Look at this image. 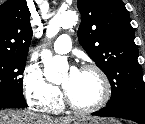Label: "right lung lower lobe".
<instances>
[{"mask_svg":"<svg viewBox=\"0 0 145 124\" xmlns=\"http://www.w3.org/2000/svg\"><path fill=\"white\" fill-rule=\"evenodd\" d=\"M23 92H0V108H25Z\"/></svg>","mask_w":145,"mask_h":124,"instance_id":"1","label":"right lung lower lobe"}]
</instances>
